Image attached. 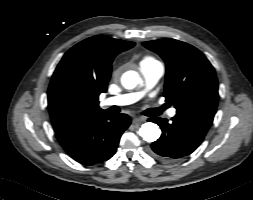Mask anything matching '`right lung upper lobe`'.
Instances as JSON below:
<instances>
[{
	"instance_id": "right-lung-upper-lobe-1",
	"label": "right lung upper lobe",
	"mask_w": 253,
	"mask_h": 200,
	"mask_svg": "<svg viewBox=\"0 0 253 200\" xmlns=\"http://www.w3.org/2000/svg\"><path fill=\"white\" fill-rule=\"evenodd\" d=\"M134 45L97 35L76 44L63 56L48 88L55 131L106 113L99 107L98 97L107 90L113 58Z\"/></svg>"
}]
</instances>
